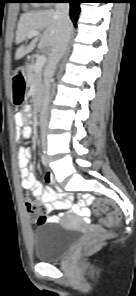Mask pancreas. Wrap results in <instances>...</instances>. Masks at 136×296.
Segmentation results:
<instances>
[{
	"mask_svg": "<svg viewBox=\"0 0 136 296\" xmlns=\"http://www.w3.org/2000/svg\"><path fill=\"white\" fill-rule=\"evenodd\" d=\"M26 78H27V85L35 87V94L38 97L42 90V72H36L35 64L31 63L26 68Z\"/></svg>",
	"mask_w": 136,
	"mask_h": 296,
	"instance_id": "obj_1",
	"label": "pancreas"
}]
</instances>
